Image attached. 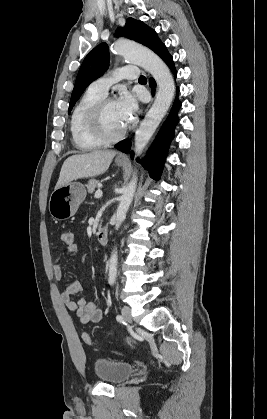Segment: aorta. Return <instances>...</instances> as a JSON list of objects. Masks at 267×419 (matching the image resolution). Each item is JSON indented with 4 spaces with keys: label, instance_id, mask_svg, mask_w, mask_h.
<instances>
[{
    "label": "aorta",
    "instance_id": "aorta-1",
    "mask_svg": "<svg viewBox=\"0 0 267 419\" xmlns=\"http://www.w3.org/2000/svg\"><path fill=\"white\" fill-rule=\"evenodd\" d=\"M111 50L114 54L123 56L126 61L143 67L151 73L157 82L158 91L155 101L135 133L134 151L136 156H138L142 153L172 103L175 93L174 79L167 65L160 57L147 48L129 41H117ZM136 186L137 176L134 174L120 198L116 211V230L119 229L126 217ZM117 263V251H113L109 259L108 283L110 285L116 281Z\"/></svg>",
    "mask_w": 267,
    "mask_h": 419
}]
</instances>
